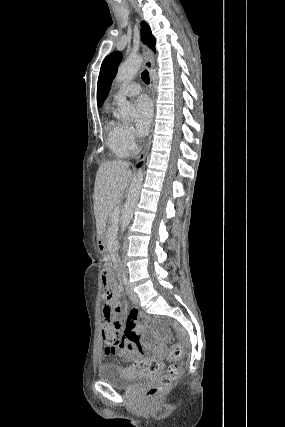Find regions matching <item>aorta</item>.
<instances>
[{"mask_svg":"<svg viewBox=\"0 0 285 427\" xmlns=\"http://www.w3.org/2000/svg\"><path fill=\"white\" fill-rule=\"evenodd\" d=\"M142 57L139 55H130L125 62L121 63L118 67L116 75V81L127 82L134 78L138 70L142 65ZM118 113L117 117L122 120H128L133 112V106L130 104L125 97H117ZM144 179V172L140 169L134 176L131 185L128 190L127 200L124 205V209L121 216V232L129 225L134 209L140 197L141 188Z\"/></svg>","mask_w":285,"mask_h":427,"instance_id":"aorta-1","label":"aorta"}]
</instances>
